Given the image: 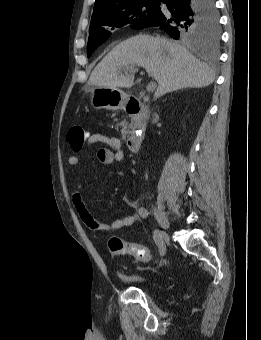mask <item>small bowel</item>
<instances>
[{
	"instance_id": "1",
	"label": "small bowel",
	"mask_w": 261,
	"mask_h": 340,
	"mask_svg": "<svg viewBox=\"0 0 261 340\" xmlns=\"http://www.w3.org/2000/svg\"><path fill=\"white\" fill-rule=\"evenodd\" d=\"M88 145L101 143L104 147L97 151L98 160L105 165H113L120 162L124 158L121 141L119 138L102 133H86V141ZM71 166H79L82 160L77 155H72L68 160ZM108 178L105 181L107 184ZM72 204L81 219V221L91 230L97 232H112L124 227L133 225L139 218L138 213L116 219L112 222H104L98 220L90 208L84 202L79 191H74L71 196ZM128 203L134 205V202L128 200Z\"/></svg>"
}]
</instances>
